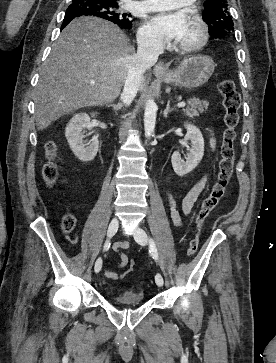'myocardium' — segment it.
<instances>
[{"label":"myocardium","instance_id":"myocardium-1","mask_svg":"<svg viewBox=\"0 0 276 363\" xmlns=\"http://www.w3.org/2000/svg\"><path fill=\"white\" fill-rule=\"evenodd\" d=\"M190 19L198 28V37L194 42L188 44H177L176 48L182 53H194L201 50L208 40V27L204 19L195 12L190 13Z\"/></svg>","mask_w":276,"mask_h":363}]
</instances>
